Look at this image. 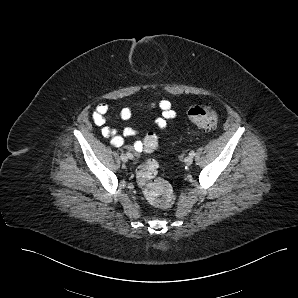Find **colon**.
I'll return each instance as SVG.
<instances>
[{
	"instance_id": "obj_1",
	"label": "colon",
	"mask_w": 298,
	"mask_h": 298,
	"mask_svg": "<svg viewBox=\"0 0 298 298\" xmlns=\"http://www.w3.org/2000/svg\"><path fill=\"white\" fill-rule=\"evenodd\" d=\"M190 120L205 130H214L218 124L215 110L209 105H195L188 111ZM143 151L152 153L158 146V137L148 132L142 142ZM158 162L149 158L138 166L136 179L147 201L153 206L169 208L175 200V193L171 185L164 179L158 178Z\"/></svg>"
}]
</instances>
